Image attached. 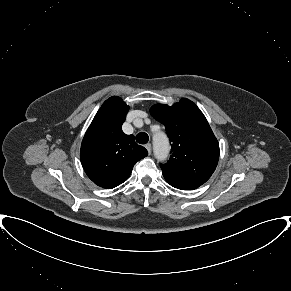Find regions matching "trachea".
<instances>
[{"mask_svg": "<svg viewBox=\"0 0 291 291\" xmlns=\"http://www.w3.org/2000/svg\"><path fill=\"white\" fill-rule=\"evenodd\" d=\"M148 140H149V136L145 132L138 133L136 136V141L139 144H146L148 142Z\"/></svg>", "mask_w": 291, "mask_h": 291, "instance_id": "1", "label": "trachea"}]
</instances>
